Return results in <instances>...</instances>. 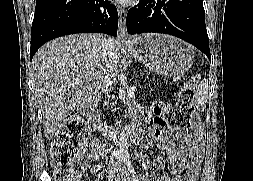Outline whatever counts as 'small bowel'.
<instances>
[{
	"mask_svg": "<svg viewBox=\"0 0 253 181\" xmlns=\"http://www.w3.org/2000/svg\"><path fill=\"white\" fill-rule=\"evenodd\" d=\"M171 108V104L164 103L154 108L155 119L144 142L145 150H151L154 146L163 148L170 162L169 171L165 170L163 158L160 155L154 157V167L161 171L152 176L153 181H196L204 157V147L200 129L194 134L182 137L172 127H168L164 114ZM103 151V143L99 140L91 142L90 158L97 160ZM149 160V154L145 155ZM172 175H182L173 178Z\"/></svg>",
	"mask_w": 253,
	"mask_h": 181,
	"instance_id": "c3829d8e",
	"label": "small bowel"
}]
</instances>
